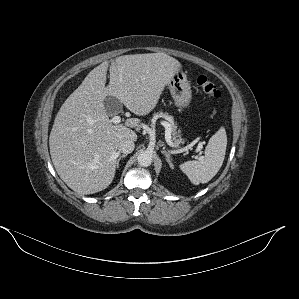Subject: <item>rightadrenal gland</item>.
Masks as SVG:
<instances>
[{
    "label": "right adrenal gland",
    "instance_id": "2a0ac1e0",
    "mask_svg": "<svg viewBox=\"0 0 299 299\" xmlns=\"http://www.w3.org/2000/svg\"><path fill=\"white\" fill-rule=\"evenodd\" d=\"M127 155L126 154H123V155H120L119 158L117 159V162H116V168H119V162L122 158L126 157Z\"/></svg>",
    "mask_w": 299,
    "mask_h": 299
}]
</instances>
